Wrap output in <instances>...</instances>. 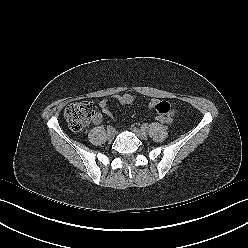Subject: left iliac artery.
Listing matches in <instances>:
<instances>
[{
	"mask_svg": "<svg viewBox=\"0 0 248 248\" xmlns=\"http://www.w3.org/2000/svg\"><path fill=\"white\" fill-rule=\"evenodd\" d=\"M141 128H142V130H147V129H148V126H147V124H143V125L141 126Z\"/></svg>",
	"mask_w": 248,
	"mask_h": 248,
	"instance_id": "left-iliac-artery-1",
	"label": "left iliac artery"
}]
</instances>
